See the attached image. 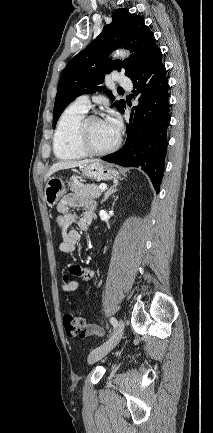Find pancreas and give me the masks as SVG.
<instances>
[{
    "mask_svg": "<svg viewBox=\"0 0 213 433\" xmlns=\"http://www.w3.org/2000/svg\"><path fill=\"white\" fill-rule=\"evenodd\" d=\"M70 186V190L78 196L96 199L99 198L102 193V190H100L95 184H82L76 180H73Z\"/></svg>",
    "mask_w": 213,
    "mask_h": 433,
    "instance_id": "1",
    "label": "pancreas"
}]
</instances>
